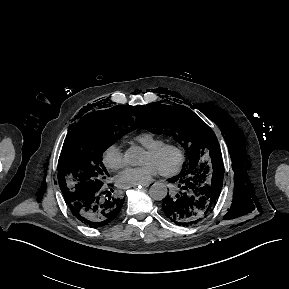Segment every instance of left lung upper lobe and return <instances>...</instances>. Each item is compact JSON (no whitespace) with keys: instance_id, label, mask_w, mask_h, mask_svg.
Here are the masks:
<instances>
[{"instance_id":"5c2ea615","label":"left lung upper lobe","mask_w":289,"mask_h":289,"mask_svg":"<svg viewBox=\"0 0 289 289\" xmlns=\"http://www.w3.org/2000/svg\"><path fill=\"white\" fill-rule=\"evenodd\" d=\"M137 122L155 134L173 136L187 151L189 162L180 174L222 169V155L212 129L189 108L182 105L150 103L138 107Z\"/></svg>"}]
</instances>
